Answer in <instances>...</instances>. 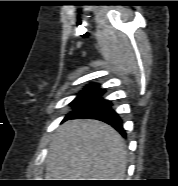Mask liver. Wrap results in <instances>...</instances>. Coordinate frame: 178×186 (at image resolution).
Masks as SVG:
<instances>
[{"label":"liver","mask_w":178,"mask_h":186,"mask_svg":"<svg viewBox=\"0 0 178 186\" xmlns=\"http://www.w3.org/2000/svg\"><path fill=\"white\" fill-rule=\"evenodd\" d=\"M122 136L97 120H69L56 131L46 159V180H124Z\"/></svg>","instance_id":"1"}]
</instances>
